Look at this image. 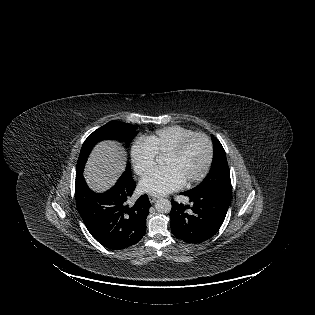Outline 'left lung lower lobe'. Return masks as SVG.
Returning <instances> with one entry per match:
<instances>
[{
  "label": "left lung lower lobe",
  "mask_w": 315,
  "mask_h": 315,
  "mask_svg": "<svg viewBox=\"0 0 315 315\" xmlns=\"http://www.w3.org/2000/svg\"><path fill=\"white\" fill-rule=\"evenodd\" d=\"M182 194L188 196L193 205L184 206L171 201L172 234L187 243H201L211 238L225 219L231 194L196 188ZM187 208L191 211H186Z\"/></svg>",
  "instance_id": "0a47b994"
}]
</instances>
